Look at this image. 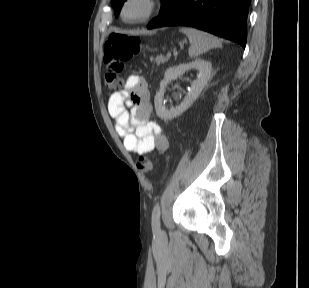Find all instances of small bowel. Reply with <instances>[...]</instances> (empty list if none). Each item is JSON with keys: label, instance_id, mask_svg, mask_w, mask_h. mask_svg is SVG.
Listing matches in <instances>:
<instances>
[{"label": "small bowel", "instance_id": "1", "mask_svg": "<svg viewBox=\"0 0 309 288\" xmlns=\"http://www.w3.org/2000/svg\"><path fill=\"white\" fill-rule=\"evenodd\" d=\"M108 111L128 152L147 154L168 149L167 137L159 124L151 120L152 106L143 78L129 76L124 89L110 95Z\"/></svg>", "mask_w": 309, "mask_h": 288}]
</instances>
